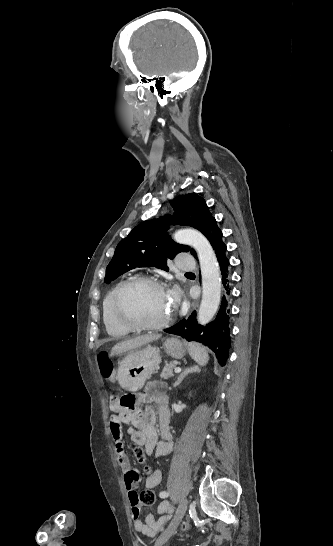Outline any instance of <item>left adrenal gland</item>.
<instances>
[{
  "mask_svg": "<svg viewBox=\"0 0 333 546\" xmlns=\"http://www.w3.org/2000/svg\"><path fill=\"white\" fill-rule=\"evenodd\" d=\"M200 370L195 366V367H191L189 369H186L183 373L180 374V376L178 377L177 381L174 383L173 387L176 388L179 384H181V382L183 381V379L190 373H193V372H199Z\"/></svg>",
  "mask_w": 333,
  "mask_h": 546,
  "instance_id": "left-adrenal-gland-1",
  "label": "left adrenal gland"
}]
</instances>
